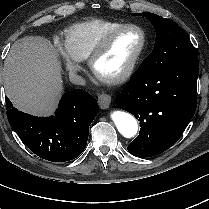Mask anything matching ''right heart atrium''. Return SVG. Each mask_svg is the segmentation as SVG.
Returning <instances> with one entry per match:
<instances>
[{
  "instance_id": "d8ad5b80",
  "label": "right heart atrium",
  "mask_w": 209,
  "mask_h": 209,
  "mask_svg": "<svg viewBox=\"0 0 209 209\" xmlns=\"http://www.w3.org/2000/svg\"><path fill=\"white\" fill-rule=\"evenodd\" d=\"M59 56L66 68V70L71 74H76L80 71L79 61L76 60L67 50L65 45L58 44Z\"/></svg>"
}]
</instances>
